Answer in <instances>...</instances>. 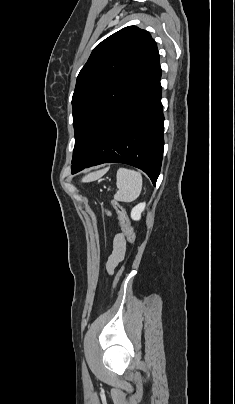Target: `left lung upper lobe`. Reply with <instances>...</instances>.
Listing matches in <instances>:
<instances>
[{"label":"left lung upper lobe","instance_id":"1","mask_svg":"<svg viewBox=\"0 0 235 404\" xmlns=\"http://www.w3.org/2000/svg\"><path fill=\"white\" fill-rule=\"evenodd\" d=\"M149 32L125 27L98 44L81 69L72 97L75 147L72 163L86 151L115 109L158 66Z\"/></svg>","mask_w":235,"mask_h":404}]
</instances>
